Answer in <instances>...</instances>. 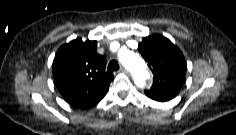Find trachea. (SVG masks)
I'll return each mask as SVG.
<instances>
[{
    "label": "trachea",
    "mask_w": 236,
    "mask_h": 135,
    "mask_svg": "<svg viewBox=\"0 0 236 135\" xmlns=\"http://www.w3.org/2000/svg\"><path fill=\"white\" fill-rule=\"evenodd\" d=\"M119 69V64L116 60H111L108 64V70L117 71Z\"/></svg>",
    "instance_id": "obj_1"
}]
</instances>
